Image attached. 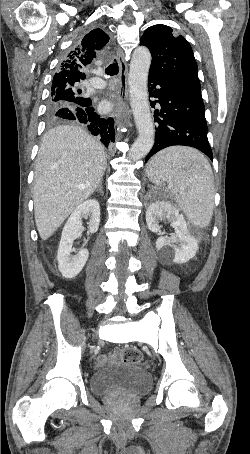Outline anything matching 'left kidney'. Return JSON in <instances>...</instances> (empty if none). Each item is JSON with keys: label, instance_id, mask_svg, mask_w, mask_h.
Returning <instances> with one entry per match:
<instances>
[{"label": "left kidney", "instance_id": "1", "mask_svg": "<svg viewBox=\"0 0 250 454\" xmlns=\"http://www.w3.org/2000/svg\"><path fill=\"white\" fill-rule=\"evenodd\" d=\"M167 220L171 222L174 233L161 236L156 241V249L163 256L173 258L175 263H186L196 255L198 240L188 228L184 216L179 209L168 201H156L146 211V223L152 232L160 231L159 223Z\"/></svg>", "mask_w": 250, "mask_h": 454}]
</instances>
